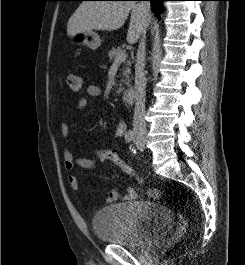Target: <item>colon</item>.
I'll return each instance as SVG.
<instances>
[{"instance_id":"5ec220e1","label":"colon","mask_w":245,"mask_h":265,"mask_svg":"<svg viewBox=\"0 0 245 265\" xmlns=\"http://www.w3.org/2000/svg\"><path fill=\"white\" fill-rule=\"evenodd\" d=\"M67 85L70 91L76 95H81L83 90V83L80 76L76 74H69L67 76ZM94 155L102 161H108L117 166L122 172L127 175H133V169L120 156L111 149H98L94 151Z\"/></svg>"}]
</instances>
